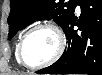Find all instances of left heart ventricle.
<instances>
[{
	"mask_svg": "<svg viewBox=\"0 0 102 75\" xmlns=\"http://www.w3.org/2000/svg\"><path fill=\"white\" fill-rule=\"evenodd\" d=\"M56 34L47 28L37 29L26 39L23 46L24 59L27 63L45 62L57 51Z\"/></svg>",
	"mask_w": 102,
	"mask_h": 75,
	"instance_id": "obj_1",
	"label": "left heart ventricle"
}]
</instances>
